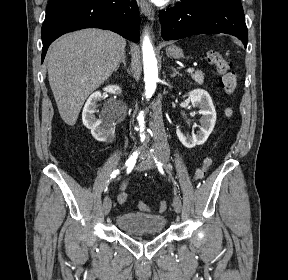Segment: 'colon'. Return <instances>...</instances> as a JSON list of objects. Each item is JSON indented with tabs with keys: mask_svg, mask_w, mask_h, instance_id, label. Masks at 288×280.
<instances>
[{
	"mask_svg": "<svg viewBox=\"0 0 288 280\" xmlns=\"http://www.w3.org/2000/svg\"><path fill=\"white\" fill-rule=\"evenodd\" d=\"M207 61L209 64L213 65L219 74L222 75L221 84L224 90L227 93H232L236 88L237 78L234 72L230 71L231 65L230 62L225 59L222 54L217 50H210L207 53ZM228 115L231 114V111L228 110ZM212 164L210 158H206L201 167H199L195 172V180H201L205 177L207 170ZM127 200V194H122L118 201L121 204L125 203ZM166 202L160 201L156 207V210L159 213H162L166 210ZM138 207L143 211H150L151 208L144 202H139Z\"/></svg>",
	"mask_w": 288,
	"mask_h": 280,
	"instance_id": "obj_1",
	"label": "colon"
}]
</instances>
